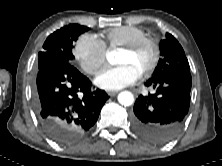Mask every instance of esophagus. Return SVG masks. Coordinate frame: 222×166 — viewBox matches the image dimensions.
I'll return each mask as SVG.
<instances>
[{
  "label": "esophagus",
  "instance_id": "esophagus-1",
  "mask_svg": "<svg viewBox=\"0 0 222 166\" xmlns=\"http://www.w3.org/2000/svg\"><path fill=\"white\" fill-rule=\"evenodd\" d=\"M117 93H118L117 91H109L108 95L112 97L115 96Z\"/></svg>",
  "mask_w": 222,
  "mask_h": 166
}]
</instances>
